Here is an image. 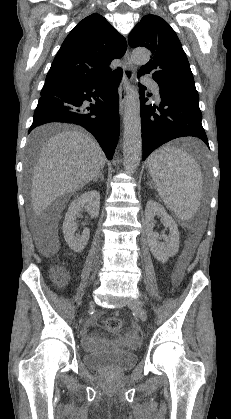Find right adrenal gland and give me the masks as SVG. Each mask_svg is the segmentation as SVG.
<instances>
[{
    "mask_svg": "<svg viewBox=\"0 0 231 419\" xmlns=\"http://www.w3.org/2000/svg\"><path fill=\"white\" fill-rule=\"evenodd\" d=\"M99 178H100V180H101V181H104L103 171H101V172L98 174V176H96V177L93 179V182H97Z\"/></svg>",
    "mask_w": 231,
    "mask_h": 419,
    "instance_id": "1",
    "label": "right adrenal gland"
}]
</instances>
